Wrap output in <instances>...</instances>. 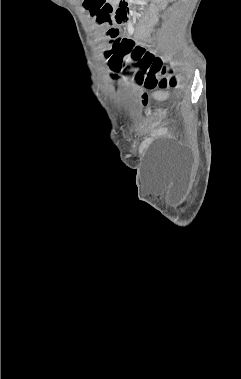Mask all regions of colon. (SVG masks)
Instances as JSON below:
<instances>
[{
	"instance_id": "1",
	"label": "colon",
	"mask_w": 241,
	"mask_h": 379,
	"mask_svg": "<svg viewBox=\"0 0 241 379\" xmlns=\"http://www.w3.org/2000/svg\"><path fill=\"white\" fill-rule=\"evenodd\" d=\"M84 8L97 21H109L111 18L112 10L106 0H85ZM105 36L113 43V48L107 52L110 65L115 69V71H108L110 80H118V77L119 80H123V77H120L121 71L119 69L133 67L138 69L137 79L144 81L146 86L156 87L167 84L165 79L167 69L160 58L154 57L145 48L136 45L131 40H118L117 32L114 29L107 31ZM102 75H106V72H102Z\"/></svg>"
}]
</instances>
